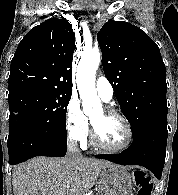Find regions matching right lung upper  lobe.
<instances>
[{"label": "right lung upper lobe", "mask_w": 178, "mask_h": 195, "mask_svg": "<svg viewBox=\"0 0 178 195\" xmlns=\"http://www.w3.org/2000/svg\"><path fill=\"white\" fill-rule=\"evenodd\" d=\"M75 34L62 17L32 28L11 61L9 96L28 90L72 93Z\"/></svg>", "instance_id": "obj_1"}]
</instances>
